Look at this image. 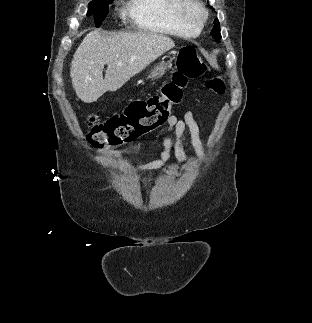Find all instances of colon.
Wrapping results in <instances>:
<instances>
[{
    "label": "colon",
    "mask_w": 312,
    "mask_h": 323,
    "mask_svg": "<svg viewBox=\"0 0 312 323\" xmlns=\"http://www.w3.org/2000/svg\"><path fill=\"white\" fill-rule=\"evenodd\" d=\"M175 63L178 71L172 74L171 81L160 87L158 94L132 101L124 114L105 123L98 121V112L91 113L87 131L89 143L93 147L120 145L139 139L164 124L172 114L171 107L181 101L182 89L188 81L206 70L196 47L190 45L178 51ZM205 87L219 96L225 93L224 81L219 77L206 80Z\"/></svg>",
    "instance_id": "obj_1"
}]
</instances>
